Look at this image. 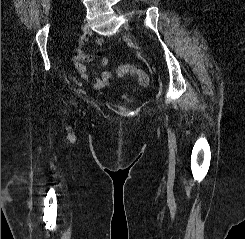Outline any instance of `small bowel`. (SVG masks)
<instances>
[{
	"label": "small bowel",
	"instance_id": "small-bowel-1",
	"mask_svg": "<svg viewBox=\"0 0 245 239\" xmlns=\"http://www.w3.org/2000/svg\"><path fill=\"white\" fill-rule=\"evenodd\" d=\"M104 40L101 38L96 39L95 45L96 49L92 54L83 53L81 50H76L73 54V65L75 69L80 74L81 78L84 80H89L91 78V73L86 63L90 62L95 57L101 56L102 46ZM110 64V60L107 57H103L100 61V66L103 68L101 74L94 78L93 87L96 90L103 89L111 84L115 76L110 70L105 68Z\"/></svg>",
	"mask_w": 245,
	"mask_h": 239
}]
</instances>
